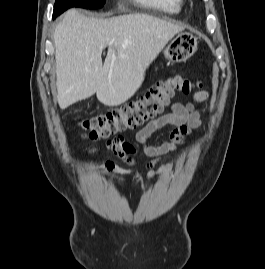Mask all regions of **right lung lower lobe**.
<instances>
[{"label":"right lung lower lobe","mask_w":265,"mask_h":269,"mask_svg":"<svg viewBox=\"0 0 265 269\" xmlns=\"http://www.w3.org/2000/svg\"><path fill=\"white\" fill-rule=\"evenodd\" d=\"M57 17V15L56 14H53V19H55Z\"/></svg>","instance_id":"1"}]
</instances>
